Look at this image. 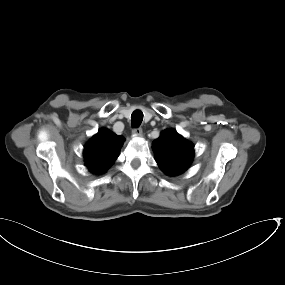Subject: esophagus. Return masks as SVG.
Returning a JSON list of instances; mask_svg holds the SVG:
<instances>
[{"label": "esophagus", "instance_id": "34e87169", "mask_svg": "<svg viewBox=\"0 0 285 285\" xmlns=\"http://www.w3.org/2000/svg\"><path fill=\"white\" fill-rule=\"evenodd\" d=\"M132 135L135 137H140L142 135V129L140 127L134 128L132 130Z\"/></svg>", "mask_w": 285, "mask_h": 285}]
</instances>
